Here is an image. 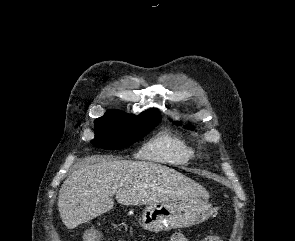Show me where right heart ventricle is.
Instances as JSON below:
<instances>
[{
  "label": "right heart ventricle",
  "mask_w": 295,
  "mask_h": 241,
  "mask_svg": "<svg viewBox=\"0 0 295 241\" xmlns=\"http://www.w3.org/2000/svg\"><path fill=\"white\" fill-rule=\"evenodd\" d=\"M195 149L185 140L160 133L149 140L140 150L143 159L171 165L187 164L195 157Z\"/></svg>",
  "instance_id": "1"
}]
</instances>
